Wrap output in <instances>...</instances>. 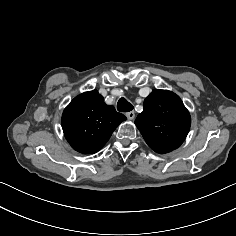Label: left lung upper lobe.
Segmentation results:
<instances>
[{"mask_svg":"<svg viewBox=\"0 0 236 236\" xmlns=\"http://www.w3.org/2000/svg\"><path fill=\"white\" fill-rule=\"evenodd\" d=\"M135 124L148 146L159 154L177 149L185 140L191 117L182 100L168 90L154 89L144 101Z\"/></svg>","mask_w":236,"mask_h":236,"instance_id":"1","label":"left lung upper lobe"}]
</instances>
